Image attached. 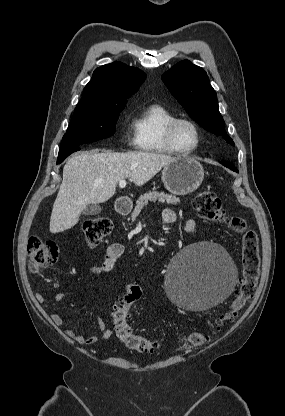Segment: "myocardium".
<instances>
[{
	"label": "myocardium",
	"instance_id": "f54148a6",
	"mask_svg": "<svg viewBox=\"0 0 285 416\" xmlns=\"http://www.w3.org/2000/svg\"><path fill=\"white\" fill-rule=\"evenodd\" d=\"M181 122H185L191 125L196 134V139H197L196 145L189 150H183V149L178 148L174 141V130L176 126ZM164 137H165L166 145L169 148V150L172 153L179 155V156H188V155H192L196 153L199 150L201 143H202L201 130L198 124L192 119L187 118V117H175L172 120H170L165 127Z\"/></svg>",
	"mask_w": 285,
	"mask_h": 416
}]
</instances>
